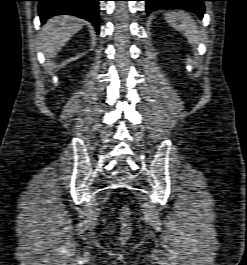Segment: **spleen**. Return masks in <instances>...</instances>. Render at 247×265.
I'll list each match as a JSON object with an SVG mask.
<instances>
[{
  "instance_id": "obj_1",
  "label": "spleen",
  "mask_w": 247,
  "mask_h": 265,
  "mask_svg": "<svg viewBox=\"0 0 247 265\" xmlns=\"http://www.w3.org/2000/svg\"><path fill=\"white\" fill-rule=\"evenodd\" d=\"M165 20L170 26L185 35L193 46L200 41L197 24L187 12L169 11L165 13Z\"/></svg>"
}]
</instances>
